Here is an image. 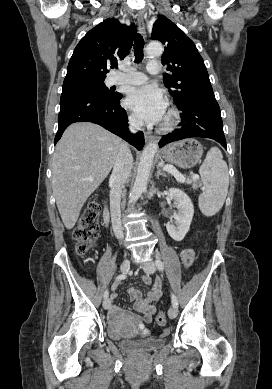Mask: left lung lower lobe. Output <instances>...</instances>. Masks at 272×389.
Listing matches in <instances>:
<instances>
[{
	"label": "left lung lower lobe",
	"instance_id": "1",
	"mask_svg": "<svg viewBox=\"0 0 272 389\" xmlns=\"http://www.w3.org/2000/svg\"><path fill=\"white\" fill-rule=\"evenodd\" d=\"M180 109L182 128L163 136L160 147L184 138L202 137L214 139L227 148L220 108L213 92L190 99Z\"/></svg>",
	"mask_w": 272,
	"mask_h": 389
}]
</instances>
